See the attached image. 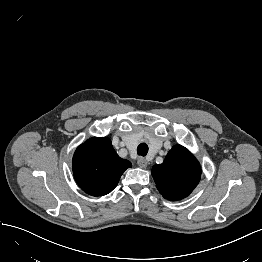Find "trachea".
<instances>
[{"instance_id":"trachea-1","label":"trachea","mask_w":262,"mask_h":262,"mask_svg":"<svg viewBox=\"0 0 262 262\" xmlns=\"http://www.w3.org/2000/svg\"><path fill=\"white\" fill-rule=\"evenodd\" d=\"M148 145L146 143H141L137 147V154L140 156H146L148 153Z\"/></svg>"}]
</instances>
